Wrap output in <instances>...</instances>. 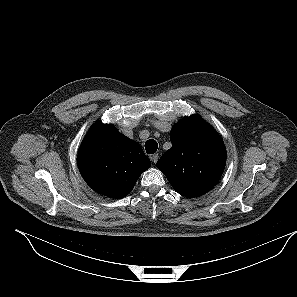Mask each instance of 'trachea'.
<instances>
[{
	"instance_id": "1",
	"label": "trachea",
	"mask_w": 297,
	"mask_h": 297,
	"mask_svg": "<svg viewBox=\"0 0 297 297\" xmlns=\"http://www.w3.org/2000/svg\"><path fill=\"white\" fill-rule=\"evenodd\" d=\"M158 144L155 140L149 139L145 143V149L148 154H153L157 151Z\"/></svg>"
}]
</instances>
